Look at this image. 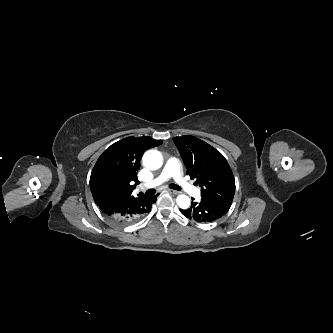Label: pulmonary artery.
Masks as SVG:
<instances>
[{"label": "pulmonary artery", "instance_id": "obj_1", "mask_svg": "<svg viewBox=\"0 0 333 333\" xmlns=\"http://www.w3.org/2000/svg\"><path fill=\"white\" fill-rule=\"evenodd\" d=\"M170 178H173L175 182L182 188L185 192L192 196H199L200 189L188 182L184 177L181 171V164L178 158L172 157L168 159L164 168L160 174L154 178L150 183L145 185V187H155L158 186Z\"/></svg>", "mask_w": 333, "mask_h": 333}]
</instances>
